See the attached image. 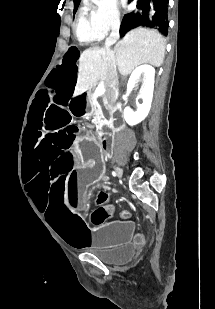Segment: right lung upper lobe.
I'll return each mask as SVG.
<instances>
[{
	"label": "right lung upper lobe",
	"mask_w": 215,
	"mask_h": 309,
	"mask_svg": "<svg viewBox=\"0 0 215 309\" xmlns=\"http://www.w3.org/2000/svg\"><path fill=\"white\" fill-rule=\"evenodd\" d=\"M78 2V0H74V3H77Z\"/></svg>",
	"instance_id": "obj_1"
}]
</instances>
